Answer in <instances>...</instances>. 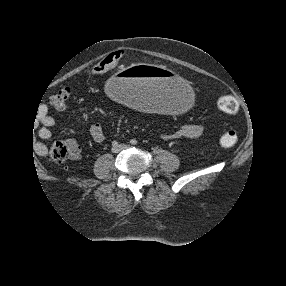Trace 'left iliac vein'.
I'll return each instance as SVG.
<instances>
[{"mask_svg":"<svg viewBox=\"0 0 286 286\" xmlns=\"http://www.w3.org/2000/svg\"><path fill=\"white\" fill-rule=\"evenodd\" d=\"M118 148H119L120 150H125V149H128V148H129V145H127V144H121V145L118 146Z\"/></svg>","mask_w":286,"mask_h":286,"instance_id":"left-iliac-vein-1","label":"left iliac vein"}]
</instances>
